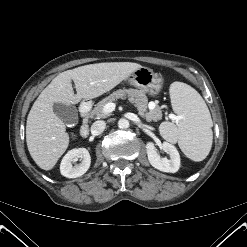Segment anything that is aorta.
Masks as SVG:
<instances>
[{
  "mask_svg": "<svg viewBox=\"0 0 247 247\" xmlns=\"http://www.w3.org/2000/svg\"><path fill=\"white\" fill-rule=\"evenodd\" d=\"M118 126L121 129H126V128H128L130 126V124H129V121L127 119L121 118L118 121Z\"/></svg>",
  "mask_w": 247,
  "mask_h": 247,
  "instance_id": "762f6f07",
  "label": "aorta"
}]
</instances>
